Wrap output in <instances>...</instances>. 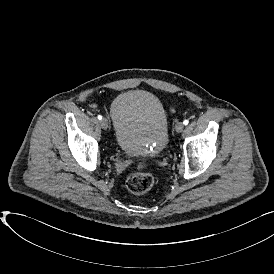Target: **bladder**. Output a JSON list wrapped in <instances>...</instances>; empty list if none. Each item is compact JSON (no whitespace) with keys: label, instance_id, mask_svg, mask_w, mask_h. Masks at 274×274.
<instances>
[{"label":"bladder","instance_id":"obj_1","mask_svg":"<svg viewBox=\"0 0 274 274\" xmlns=\"http://www.w3.org/2000/svg\"><path fill=\"white\" fill-rule=\"evenodd\" d=\"M118 148L131 157L157 156L168 143V119L159 98L143 90L119 94L111 106Z\"/></svg>","mask_w":274,"mask_h":274}]
</instances>
